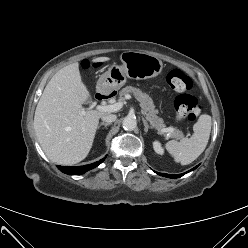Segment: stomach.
<instances>
[{
	"mask_svg": "<svg viewBox=\"0 0 248 248\" xmlns=\"http://www.w3.org/2000/svg\"><path fill=\"white\" fill-rule=\"evenodd\" d=\"M121 65L113 64L97 82V90L110 94L125 85L127 78L142 80L158 76L163 69L162 61L156 56L125 51L120 55Z\"/></svg>",
	"mask_w": 248,
	"mask_h": 248,
	"instance_id": "stomach-1",
	"label": "stomach"
}]
</instances>
